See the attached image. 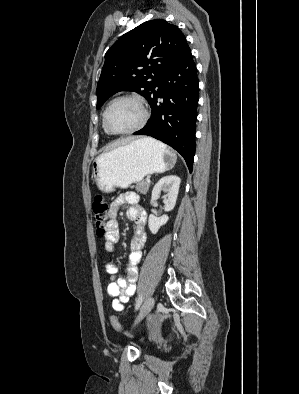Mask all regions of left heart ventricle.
<instances>
[{
	"label": "left heart ventricle",
	"instance_id": "left-heart-ventricle-1",
	"mask_svg": "<svg viewBox=\"0 0 299 394\" xmlns=\"http://www.w3.org/2000/svg\"><path fill=\"white\" fill-rule=\"evenodd\" d=\"M140 107L131 100L116 102L108 113V125L113 131H126L136 126L141 120Z\"/></svg>",
	"mask_w": 299,
	"mask_h": 394
}]
</instances>
